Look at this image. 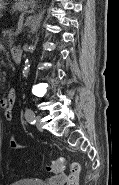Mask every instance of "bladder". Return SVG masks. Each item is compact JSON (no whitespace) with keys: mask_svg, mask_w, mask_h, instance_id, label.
Segmentation results:
<instances>
[{"mask_svg":"<svg viewBox=\"0 0 119 185\" xmlns=\"http://www.w3.org/2000/svg\"><path fill=\"white\" fill-rule=\"evenodd\" d=\"M10 185H47L45 182L34 179V178H25V179H20L17 181H14Z\"/></svg>","mask_w":119,"mask_h":185,"instance_id":"1","label":"bladder"}]
</instances>
